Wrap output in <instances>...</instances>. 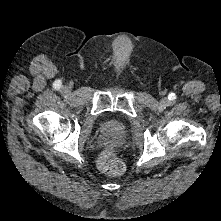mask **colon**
<instances>
[{
    "instance_id": "colon-1",
    "label": "colon",
    "mask_w": 221,
    "mask_h": 221,
    "mask_svg": "<svg viewBox=\"0 0 221 221\" xmlns=\"http://www.w3.org/2000/svg\"><path fill=\"white\" fill-rule=\"evenodd\" d=\"M98 168L107 174L119 175L122 174L125 166L124 163L117 157L114 150L103 151L97 160Z\"/></svg>"
}]
</instances>
